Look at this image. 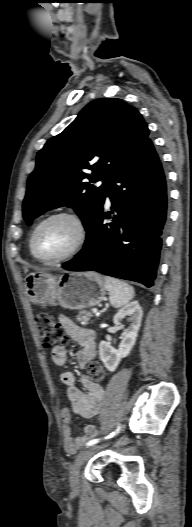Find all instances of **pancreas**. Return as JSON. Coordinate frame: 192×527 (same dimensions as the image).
Returning a JSON list of instances; mask_svg holds the SVG:
<instances>
[{"mask_svg": "<svg viewBox=\"0 0 192 527\" xmlns=\"http://www.w3.org/2000/svg\"><path fill=\"white\" fill-rule=\"evenodd\" d=\"M90 317H92L91 312L83 310L77 314V321L82 325H87L89 323Z\"/></svg>", "mask_w": 192, "mask_h": 527, "instance_id": "pancreas-1", "label": "pancreas"}]
</instances>
